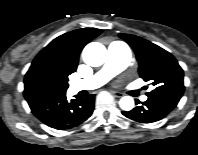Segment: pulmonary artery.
Instances as JSON below:
<instances>
[{
	"instance_id": "pulmonary-artery-1",
	"label": "pulmonary artery",
	"mask_w": 198,
	"mask_h": 155,
	"mask_svg": "<svg viewBox=\"0 0 198 155\" xmlns=\"http://www.w3.org/2000/svg\"><path fill=\"white\" fill-rule=\"evenodd\" d=\"M130 58V52L122 42H112L108 46L107 60L103 68L90 77L72 81L70 83L71 92L77 93L81 90H91L104 85L128 66ZM141 99L145 101L146 96H142Z\"/></svg>"
}]
</instances>
